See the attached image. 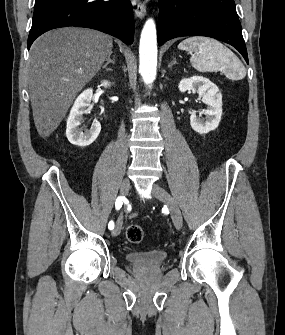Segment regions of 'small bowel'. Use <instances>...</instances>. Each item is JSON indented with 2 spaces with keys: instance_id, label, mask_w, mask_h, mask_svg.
<instances>
[{
  "instance_id": "small-bowel-1",
  "label": "small bowel",
  "mask_w": 285,
  "mask_h": 335,
  "mask_svg": "<svg viewBox=\"0 0 285 335\" xmlns=\"http://www.w3.org/2000/svg\"><path fill=\"white\" fill-rule=\"evenodd\" d=\"M130 216H134V213L130 214Z\"/></svg>"
}]
</instances>
